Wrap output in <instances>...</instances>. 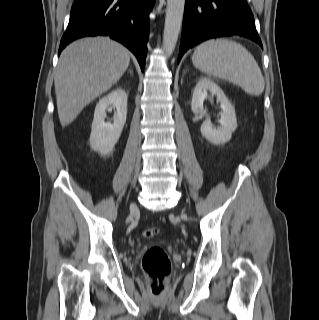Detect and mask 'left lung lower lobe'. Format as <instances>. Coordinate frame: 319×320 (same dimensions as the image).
<instances>
[{
  "mask_svg": "<svg viewBox=\"0 0 319 320\" xmlns=\"http://www.w3.org/2000/svg\"><path fill=\"white\" fill-rule=\"evenodd\" d=\"M233 35L262 47L245 0H186L178 62L187 49L204 40Z\"/></svg>",
  "mask_w": 319,
  "mask_h": 320,
  "instance_id": "left-lung-lower-lobe-1",
  "label": "left lung lower lobe"
}]
</instances>
